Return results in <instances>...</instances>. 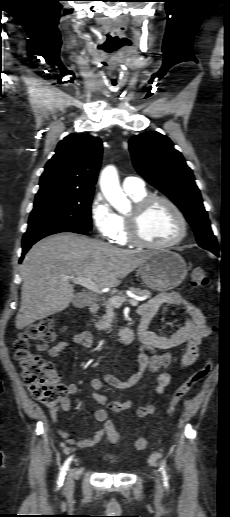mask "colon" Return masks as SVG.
Wrapping results in <instances>:
<instances>
[{
	"label": "colon",
	"mask_w": 230,
	"mask_h": 517,
	"mask_svg": "<svg viewBox=\"0 0 230 517\" xmlns=\"http://www.w3.org/2000/svg\"><path fill=\"white\" fill-rule=\"evenodd\" d=\"M193 287H204L208 284V275L204 268L197 267L191 276ZM53 322L49 318H43L29 324L17 337L14 347V359L18 364L24 383L31 395L44 406L53 408L67 394L66 386L61 383L54 365L43 359L30 349L31 342H50L54 339ZM213 367L212 361L207 362L196 369L183 383L172 393L166 408L167 416H172L179 401L205 377ZM108 439L112 443L120 440L113 424L108 426ZM134 446L137 450H144L147 440L144 437L136 438Z\"/></svg>",
	"instance_id": "colon-1"
}]
</instances>
